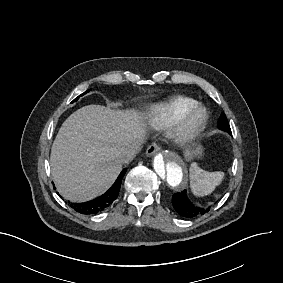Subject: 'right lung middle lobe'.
Masks as SVG:
<instances>
[{"label": "right lung middle lobe", "mask_w": 283, "mask_h": 283, "mask_svg": "<svg viewBox=\"0 0 283 283\" xmlns=\"http://www.w3.org/2000/svg\"><path fill=\"white\" fill-rule=\"evenodd\" d=\"M88 91H89V90H87L86 92H84V93L81 94L80 96H83V95L86 94ZM80 96H78L76 99H74V100L72 101V103H73L74 101H77Z\"/></svg>", "instance_id": "1"}]
</instances>
